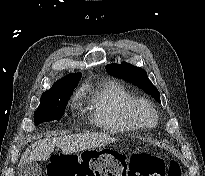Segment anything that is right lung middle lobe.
Returning <instances> with one entry per match:
<instances>
[{
    "mask_svg": "<svg viewBox=\"0 0 205 176\" xmlns=\"http://www.w3.org/2000/svg\"><path fill=\"white\" fill-rule=\"evenodd\" d=\"M72 92L73 89H68L41 96L40 105L34 113L36 125L52 120L59 121L64 114Z\"/></svg>",
    "mask_w": 205,
    "mask_h": 176,
    "instance_id": "dd1d6c3e",
    "label": "right lung middle lobe"
}]
</instances>
